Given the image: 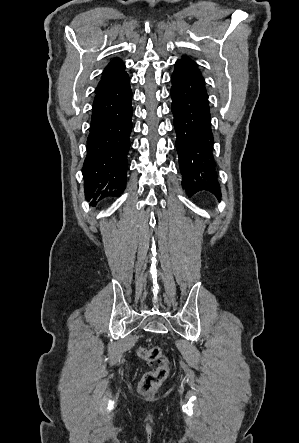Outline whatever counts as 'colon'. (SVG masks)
<instances>
[{
  "label": "colon",
  "mask_w": 299,
  "mask_h": 443,
  "mask_svg": "<svg viewBox=\"0 0 299 443\" xmlns=\"http://www.w3.org/2000/svg\"><path fill=\"white\" fill-rule=\"evenodd\" d=\"M139 356L148 363H158V367L146 372L139 383V392L143 395H149L156 391L161 383L169 374L168 359L165 357L162 348L153 347L151 349L139 348Z\"/></svg>",
  "instance_id": "colon-1"
}]
</instances>
